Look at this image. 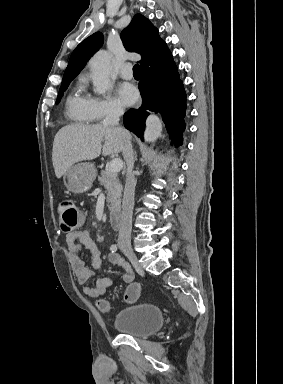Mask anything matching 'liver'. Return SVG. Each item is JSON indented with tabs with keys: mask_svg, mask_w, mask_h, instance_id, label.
Masks as SVG:
<instances>
[{
	"mask_svg": "<svg viewBox=\"0 0 283 384\" xmlns=\"http://www.w3.org/2000/svg\"><path fill=\"white\" fill-rule=\"evenodd\" d=\"M104 144L102 146V142ZM123 150V136L118 128L104 124H71L57 132L53 142L52 162L56 178H61L76 162L116 156Z\"/></svg>",
	"mask_w": 283,
	"mask_h": 384,
	"instance_id": "obj_1",
	"label": "liver"
}]
</instances>
